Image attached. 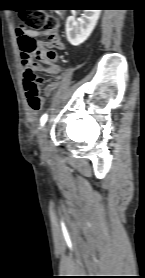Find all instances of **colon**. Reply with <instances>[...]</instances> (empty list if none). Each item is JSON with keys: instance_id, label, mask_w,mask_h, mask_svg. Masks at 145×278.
I'll list each match as a JSON object with an SVG mask.
<instances>
[{"instance_id": "obj_1", "label": "colon", "mask_w": 145, "mask_h": 278, "mask_svg": "<svg viewBox=\"0 0 145 278\" xmlns=\"http://www.w3.org/2000/svg\"><path fill=\"white\" fill-rule=\"evenodd\" d=\"M57 20L51 14L28 9L21 12L20 24L16 27L18 45L21 55L29 60L45 57L48 61L56 60V52L38 44L35 38L25 35L26 30L34 32H52L56 28ZM40 78L29 65L23 72V85L27 103L32 111H39L43 107V99L39 91Z\"/></svg>"}]
</instances>
